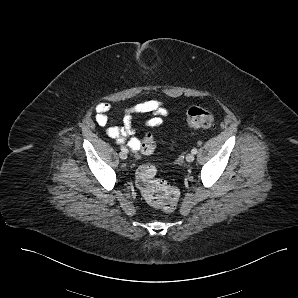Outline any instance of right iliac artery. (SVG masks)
<instances>
[{
    "instance_id": "1",
    "label": "right iliac artery",
    "mask_w": 298,
    "mask_h": 298,
    "mask_svg": "<svg viewBox=\"0 0 298 298\" xmlns=\"http://www.w3.org/2000/svg\"><path fill=\"white\" fill-rule=\"evenodd\" d=\"M121 150H122L123 152H125V153H128V149H127L126 147H124V146H121Z\"/></svg>"
}]
</instances>
